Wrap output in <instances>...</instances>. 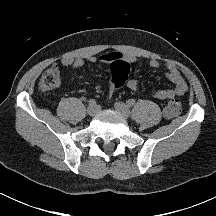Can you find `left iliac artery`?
<instances>
[{"mask_svg":"<svg viewBox=\"0 0 216 216\" xmlns=\"http://www.w3.org/2000/svg\"><path fill=\"white\" fill-rule=\"evenodd\" d=\"M128 106H133L135 104V100L134 99H129L127 101Z\"/></svg>","mask_w":216,"mask_h":216,"instance_id":"left-iliac-artery-1","label":"left iliac artery"}]
</instances>
